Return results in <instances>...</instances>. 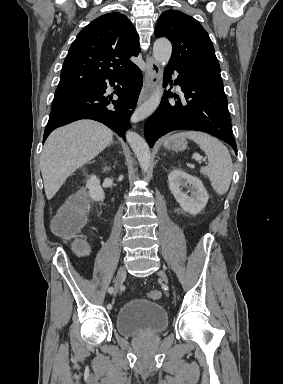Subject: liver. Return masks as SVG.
I'll list each match as a JSON object with an SVG mask.
<instances>
[{
    "instance_id": "6515ba94",
    "label": "liver",
    "mask_w": 283,
    "mask_h": 384,
    "mask_svg": "<svg viewBox=\"0 0 283 384\" xmlns=\"http://www.w3.org/2000/svg\"><path fill=\"white\" fill-rule=\"evenodd\" d=\"M113 142V132L93 120H79L50 134L40 158L47 200H51L67 178L96 158Z\"/></svg>"
}]
</instances>
